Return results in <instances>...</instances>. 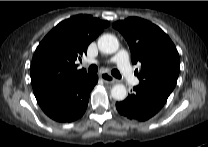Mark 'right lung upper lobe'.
Returning a JSON list of instances; mask_svg holds the SVG:
<instances>
[{
	"mask_svg": "<svg viewBox=\"0 0 208 147\" xmlns=\"http://www.w3.org/2000/svg\"><path fill=\"white\" fill-rule=\"evenodd\" d=\"M109 26L90 15H77L60 22L41 41L31 64V83L36 99L62 91L87 75L75 61L88 45Z\"/></svg>",
	"mask_w": 208,
	"mask_h": 147,
	"instance_id": "obj_1",
	"label": "right lung upper lobe"
}]
</instances>
